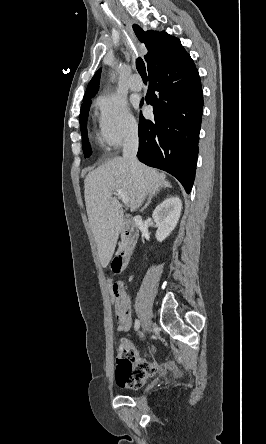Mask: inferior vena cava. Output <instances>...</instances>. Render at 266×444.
Returning <instances> with one entry per match:
<instances>
[{
	"instance_id": "1",
	"label": "inferior vena cava",
	"mask_w": 266,
	"mask_h": 444,
	"mask_svg": "<svg viewBox=\"0 0 266 444\" xmlns=\"http://www.w3.org/2000/svg\"><path fill=\"white\" fill-rule=\"evenodd\" d=\"M138 146V130L133 128L124 140L123 157L129 162L132 172L136 175L140 173V163L137 159ZM143 200L144 197L141 195L137 207L141 206Z\"/></svg>"
}]
</instances>
